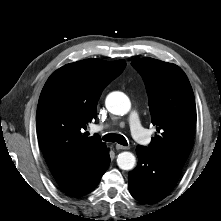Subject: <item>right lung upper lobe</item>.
<instances>
[{"instance_id": "obj_1", "label": "right lung upper lobe", "mask_w": 221, "mask_h": 221, "mask_svg": "<svg viewBox=\"0 0 221 221\" xmlns=\"http://www.w3.org/2000/svg\"><path fill=\"white\" fill-rule=\"evenodd\" d=\"M124 60L86 59L56 70L41 92L37 113L40 148L55 180L70 185L97 170L109 156L99 137H87L103 89L124 70Z\"/></svg>"}]
</instances>
